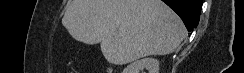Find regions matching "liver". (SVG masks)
I'll return each mask as SVG.
<instances>
[{
    "label": "liver",
    "mask_w": 244,
    "mask_h": 73,
    "mask_svg": "<svg viewBox=\"0 0 244 73\" xmlns=\"http://www.w3.org/2000/svg\"><path fill=\"white\" fill-rule=\"evenodd\" d=\"M62 24L77 41L100 43L115 65L170 54L186 35L180 17L161 0H72Z\"/></svg>",
    "instance_id": "6515ba94"
}]
</instances>
